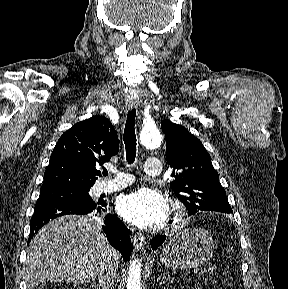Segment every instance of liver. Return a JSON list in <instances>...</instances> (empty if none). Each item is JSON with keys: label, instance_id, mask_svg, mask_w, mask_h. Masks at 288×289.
Wrapping results in <instances>:
<instances>
[{"label": "liver", "instance_id": "6515ba94", "mask_svg": "<svg viewBox=\"0 0 288 289\" xmlns=\"http://www.w3.org/2000/svg\"><path fill=\"white\" fill-rule=\"evenodd\" d=\"M120 254L108 243L92 214L66 215L45 225L31 240L25 279L32 289L46 281L92 282Z\"/></svg>", "mask_w": 288, "mask_h": 289}]
</instances>
